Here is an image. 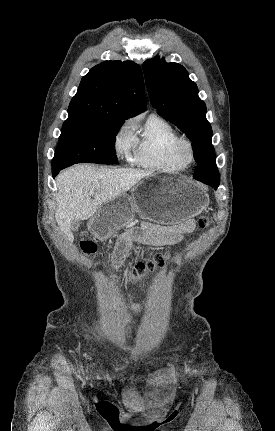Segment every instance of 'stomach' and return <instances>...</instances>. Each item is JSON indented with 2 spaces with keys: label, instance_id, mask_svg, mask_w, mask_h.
Wrapping results in <instances>:
<instances>
[{
  "label": "stomach",
  "instance_id": "0dacf381",
  "mask_svg": "<svg viewBox=\"0 0 275 431\" xmlns=\"http://www.w3.org/2000/svg\"><path fill=\"white\" fill-rule=\"evenodd\" d=\"M148 181H152L149 186L140 182L131 195L123 194L101 205L88 223L90 232L106 239L130 223L135 213L162 225H176L209 206L208 195L186 178L152 175Z\"/></svg>",
  "mask_w": 275,
  "mask_h": 431
}]
</instances>
